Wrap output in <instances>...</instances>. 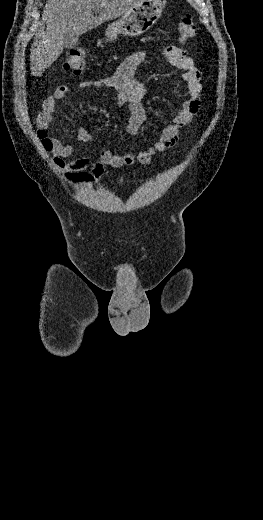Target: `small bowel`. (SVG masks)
<instances>
[{
  "label": "small bowel",
  "mask_w": 263,
  "mask_h": 520,
  "mask_svg": "<svg viewBox=\"0 0 263 520\" xmlns=\"http://www.w3.org/2000/svg\"><path fill=\"white\" fill-rule=\"evenodd\" d=\"M163 55L171 67L182 71V78L187 87V97L182 102V106L173 118V121L161 131L156 141L145 150L137 154L125 155L114 154L109 150H101L98 161L94 164H91L86 157H78L71 161H66V158L72 155L73 147L61 142L57 138H53L50 141V149L53 154L52 161L67 181L89 186L102 177L106 166L120 168L136 162L147 165L156 153L165 152L175 146L180 129L188 125L200 110L202 75L185 50L169 45L163 49ZM144 59L145 53L143 51L134 52L122 62L112 76L98 80H83L78 84L80 89L89 87L113 89L116 92L118 101L129 106L130 118L126 129L130 134H136L146 120L145 110L141 101L145 95L146 87L137 76V68ZM70 91L71 88L69 86L61 85L43 101L42 111L37 119L38 126L42 130H46L51 123L57 100L65 98ZM78 139L83 144H91L93 142L92 136L85 129L79 132Z\"/></svg>",
  "instance_id": "1"
}]
</instances>
